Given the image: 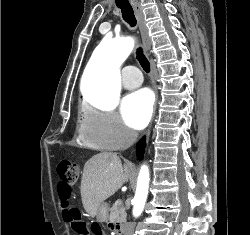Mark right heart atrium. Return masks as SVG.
<instances>
[{
	"label": "right heart atrium",
	"mask_w": 250,
	"mask_h": 235,
	"mask_svg": "<svg viewBox=\"0 0 250 235\" xmlns=\"http://www.w3.org/2000/svg\"><path fill=\"white\" fill-rule=\"evenodd\" d=\"M79 135L83 142L101 150H120L136 138L115 111L93 107L84 109Z\"/></svg>",
	"instance_id": "1"
}]
</instances>
